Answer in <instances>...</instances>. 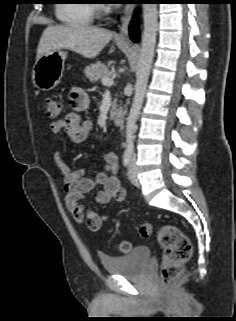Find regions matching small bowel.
<instances>
[{
    "mask_svg": "<svg viewBox=\"0 0 236 321\" xmlns=\"http://www.w3.org/2000/svg\"><path fill=\"white\" fill-rule=\"evenodd\" d=\"M68 100L72 111L63 118L53 121L50 128L55 134L65 133L73 142L81 143L89 137L92 129V122L81 116L88 107L89 96L84 90L75 88L69 93ZM54 158L63 177L64 202L67 210L78 223L86 224L90 230L97 231L109 219V215H99L86 210L80 204V200L96 186L102 187L96 194L98 203L107 204L111 201L124 200L125 191L117 175L118 155L115 152H108L105 155V170L95 178L85 177L81 168L71 169L58 151L55 152Z\"/></svg>",
    "mask_w": 236,
    "mask_h": 321,
    "instance_id": "c3829d8e",
    "label": "small bowel"
}]
</instances>
